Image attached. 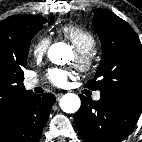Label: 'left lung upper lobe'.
<instances>
[{
	"mask_svg": "<svg viewBox=\"0 0 142 142\" xmlns=\"http://www.w3.org/2000/svg\"><path fill=\"white\" fill-rule=\"evenodd\" d=\"M93 12L103 54L95 78L86 87L116 104L142 109V44L137 34L113 12Z\"/></svg>",
	"mask_w": 142,
	"mask_h": 142,
	"instance_id": "1",
	"label": "left lung upper lobe"
}]
</instances>
